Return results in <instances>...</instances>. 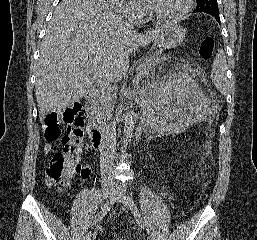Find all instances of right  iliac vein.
<instances>
[{
    "mask_svg": "<svg viewBox=\"0 0 257 240\" xmlns=\"http://www.w3.org/2000/svg\"><path fill=\"white\" fill-rule=\"evenodd\" d=\"M113 191V186L109 185L105 187L104 194H103V200H102V208L105 206V204L109 201V194ZM83 240H91V233H88L83 237Z\"/></svg>",
    "mask_w": 257,
    "mask_h": 240,
    "instance_id": "right-iliac-vein-1",
    "label": "right iliac vein"
}]
</instances>
